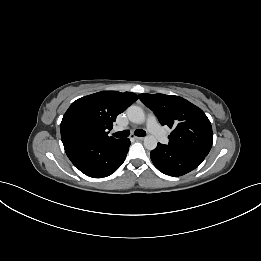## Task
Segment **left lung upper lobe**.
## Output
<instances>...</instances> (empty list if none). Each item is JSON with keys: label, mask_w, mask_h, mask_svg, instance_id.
Returning <instances> with one entry per match:
<instances>
[{"label": "left lung upper lobe", "mask_w": 261, "mask_h": 261, "mask_svg": "<svg viewBox=\"0 0 261 261\" xmlns=\"http://www.w3.org/2000/svg\"><path fill=\"white\" fill-rule=\"evenodd\" d=\"M140 100L173 131L168 146L207 156L212 146V127L205 113L186 99L165 94H140Z\"/></svg>", "instance_id": "left-lung-upper-lobe-1"}]
</instances>
